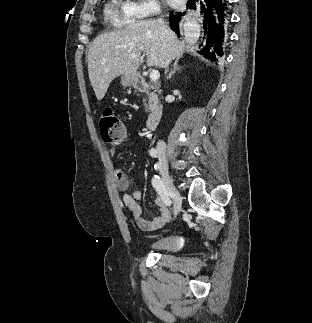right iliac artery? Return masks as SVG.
I'll return each instance as SVG.
<instances>
[{
    "label": "right iliac artery",
    "instance_id": "1",
    "mask_svg": "<svg viewBox=\"0 0 312 323\" xmlns=\"http://www.w3.org/2000/svg\"><path fill=\"white\" fill-rule=\"evenodd\" d=\"M151 156L156 157L157 152L156 151H152ZM158 165L155 164V169L157 168ZM152 185L153 187L156 189V191L158 192L159 196L161 197L162 201L167 205L170 206L171 205V200L168 196L167 190L162 182V180L160 179V177L158 175H154L152 178Z\"/></svg>",
    "mask_w": 312,
    "mask_h": 323
}]
</instances>
